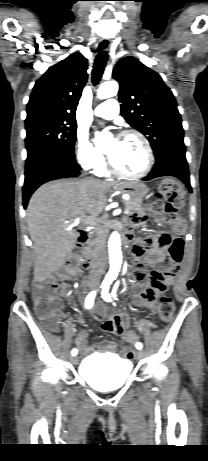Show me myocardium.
<instances>
[{
    "label": "myocardium",
    "mask_w": 208,
    "mask_h": 461,
    "mask_svg": "<svg viewBox=\"0 0 208 461\" xmlns=\"http://www.w3.org/2000/svg\"><path fill=\"white\" fill-rule=\"evenodd\" d=\"M129 136L137 137L142 142V144L144 146V149H145L146 155H147V162H146V165H145L144 169L141 172L137 173V174L124 173V172L120 171L113 164V162L111 160V157L109 156V154H107L105 152L106 168L111 174L116 175V176L121 177V178H124V179H140V178H143L146 175H148L149 172L151 171L152 167H153V164H154L153 149H152L151 144L148 141V139L141 132H139L137 130L129 129V130L122 131L118 135L117 138H123V137H129Z\"/></svg>",
    "instance_id": "obj_1"
}]
</instances>
